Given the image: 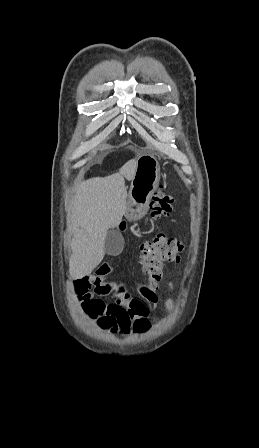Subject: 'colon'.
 Here are the masks:
<instances>
[{"label": "colon", "mask_w": 259, "mask_h": 448, "mask_svg": "<svg viewBox=\"0 0 259 448\" xmlns=\"http://www.w3.org/2000/svg\"><path fill=\"white\" fill-rule=\"evenodd\" d=\"M173 202V196L163 189L155 192L151 201L152 218L159 220L167 217L172 211ZM182 248L178 240L164 235H157L142 244L140 262L151 289L154 290L160 282L164 263L179 261Z\"/></svg>", "instance_id": "colon-1"}]
</instances>
